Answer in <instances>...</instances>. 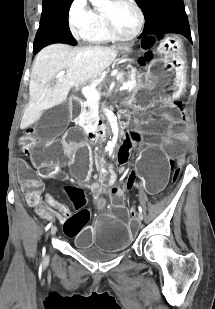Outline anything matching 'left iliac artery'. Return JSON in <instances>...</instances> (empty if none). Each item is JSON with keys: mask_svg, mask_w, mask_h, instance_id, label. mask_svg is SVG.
<instances>
[{"mask_svg": "<svg viewBox=\"0 0 215 309\" xmlns=\"http://www.w3.org/2000/svg\"><path fill=\"white\" fill-rule=\"evenodd\" d=\"M139 214H143V209H142V207L141 206H139Z\"/></svg>", "mask_w": 215, "mask_h": 309, "instance_id": "44dca946", "label": "left iliac artery"}]
</instances>
